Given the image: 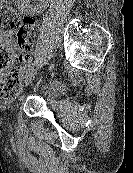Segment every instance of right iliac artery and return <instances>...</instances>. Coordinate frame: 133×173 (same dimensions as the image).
Returning <instances> with one entry per match:
<instances>
[{"label":"right iliac artery","mask_w":133,"mask_h":173,"mask_svg":"<svg viewBox=\"0 0 133 173\" xmlns=\"http://www.w3.org/2000/svg\"><path fill=\"white\" fill-rule=\"evenodd\" d=\"M33 65H34L33 63L27 64V65L24 67V72L27 74V73L32 69Z\"/></svg>","instance_id":"obj_1"}]
</instances>
